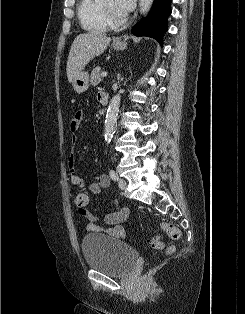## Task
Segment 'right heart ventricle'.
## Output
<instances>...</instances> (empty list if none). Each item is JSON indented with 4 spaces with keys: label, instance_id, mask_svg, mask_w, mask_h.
<instances>
[{
    "label": "right heart ventricle",
    "instance_id": "e07e8e85",
    "mask_svg": "<svg viewBox=\"0 0 245 314\" xmlns=\"http://www.w3.org/2000/svg\"><path fill=\"white\" fill-rule=\"evenodd\" d=\"M77 15L82 27L90 33H103L110 28L100 13L98 0H79Z\"/></svg>",
    "mask_w": 245,
    "mask_h": 314
}]
</instances>
